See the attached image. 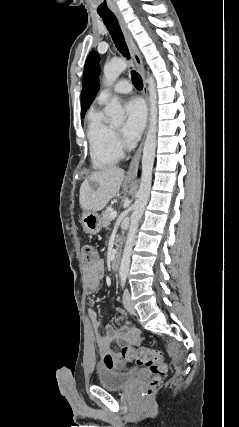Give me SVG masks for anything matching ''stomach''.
<instances>
[{
	"mask_svg": "<svg viewBox=\"0 0 239 427\" xmlns=\"http://www.w3.org/2000/svg\"><path fill=\"white\" fill-rule=\"evenodd\" d=\"M81 222L84 230L89 234H97L103 226L101 216L94 211L85 210Z\"/></svg>",
	"mask_w": 239,
	"mask_h": 427,
	"instance_id": "obj_1",
	"label": "stomach"
}]
</instances>
